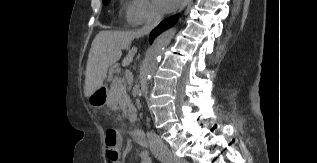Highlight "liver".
<instances>
[{"mask_svg": "<svg viewBox=\"0 0 317 163\" xmlns=\"http://www.w3.org/2000/svg\"><path fill=\"white\" fill-rule=\"evenodd\" d=\"M139 37L140 35L134 31L110 30H102L95 36L85 71V97H89L102 87L108 68L120 59L122 50L128 49L132 41ZM136 52L137 48L132 47L123 59L122 65L128 66L133 61Z\"/></svg>", "mask_w": 317, "mask_h": 163, "instance_id": "6515ba94", "label": "liver"}]
</instances>
